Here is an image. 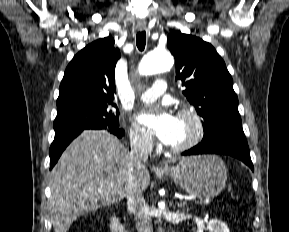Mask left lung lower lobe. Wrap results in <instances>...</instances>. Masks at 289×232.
<instances>
[{
    "label": "left lung lower lobe",
    "mask_w": 289,
    "mask_h": 232,
    "mask_svg": "<svg viewBox=\"0 0 289 232\" xmlns=\"http://www.w3.org/2000/svg\"><path fill=\"white\" fill-rule=\"evenodd\" d=\"M198 154L230 155L240 159L246 165H248L252 171H254L248 144L244 135H228L210 141L201 142L195 147L182 153L184 156Z\"/></svg>",
    "instance_id": "obj_1"
}]
</instances>
